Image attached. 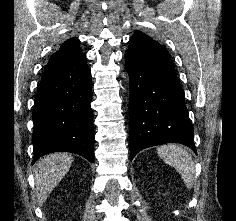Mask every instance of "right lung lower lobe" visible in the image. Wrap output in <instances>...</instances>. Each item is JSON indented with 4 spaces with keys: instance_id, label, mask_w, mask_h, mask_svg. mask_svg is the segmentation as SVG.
<instances>
[{
    "instance_id": "right-lung-lower-lobe-1",
    "label": "right lung lower lobe",
    "mask_w": 236,
    "mask_h": 221,
    "mask_svg": "<svg viewBox=\"0 0 236 221\" xmlns=\"http://www.w3.org/2000/svg\"><path fill=\"white\" fill-rule=\"evenodd\" d=\"M91 73L85 57L44 70L33 110V163L52 152L94 162Z\"/></svg>"
}]
</instances>
